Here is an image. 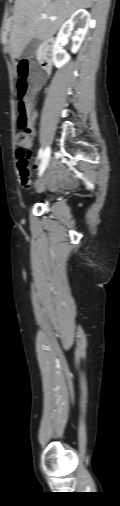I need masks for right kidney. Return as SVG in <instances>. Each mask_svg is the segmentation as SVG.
<instances>
[{"instance_id": "1", "label": "right kidney", "mask_w": 120, "mask_h": 506, "mask_svg": "<svg viewBox=\"0 0 120 506\" xmlns=\"http://www.w3.org/2000/svg\"><path fill=\"white\" fill-rule=\"evenodd\" d=\"M90 22V14L85 9H79L74 12L70 19L62 25L53 48V63L57 68H61L70 60L69 54L66 53V51L61 46L62 41L68 38L71 35L74 26L78 25L77 31H75L74 35L72 36L71 48V51L73 53H76L86 36Z\"/></svg>"}]
</instances>
